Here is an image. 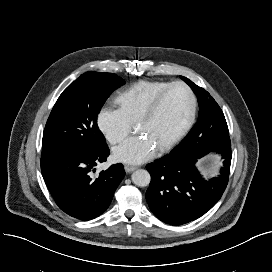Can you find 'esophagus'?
<instances>
[{
  "label": "esophagus",
  "instance_id": "esophagus-1",
  "mask_svg": "<svg viewBox=\"0 0 272 272\" xmlns=\"http://www.w3.org/2000/svg\"><path fill=\"white\" fill-rule=\"evenodd\" d=\"M124 168H125V171H126L127 173H131V172H133L134 170L137 169V166H133V165H125Z\"/></svg>",
  "mask_w": 272,
  "mask_h": 272
}]
</instances>
